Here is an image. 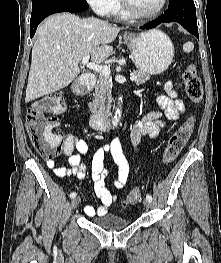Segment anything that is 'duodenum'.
<instances>
[{
    "label": "duodenum",
    "mask_w": 221,
    "mask_h": 263,
    "mask_svg": "<svg viewBox=\"0 0 221 263\" xmlns=\"http://www.w3.org/2000/svg\"><path fill=\"white\" fill-rule=\"evenodd\" d=\"M96 82V76L93 73H84L82 78L76 87L77 91H87L91 89ZM87 113L90 117L91 126L95 130L109 131L111 129L110 117L105 115L98 109H93L89 105H86Z\"/></svg>",
    "instance_id": "1"
}]
</instances>
